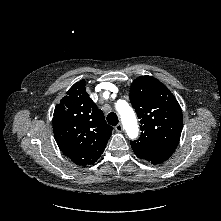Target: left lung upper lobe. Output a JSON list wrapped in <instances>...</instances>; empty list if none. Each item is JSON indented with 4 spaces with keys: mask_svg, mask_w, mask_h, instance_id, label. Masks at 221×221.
<instances>
[{
    "mask_svg": "<svg viewBox=\"0 0 221 221\" xmlns=\"http://www.w3.org/2000/svg\"><path fill=\"white\" fill-rule=\"evenodd\" d=\"M130 102L142 131L137 141H131L135 155L154 165L164 162L176 149L181 136L183 116L178 101L159 80L140 76L132 83Z\"/></svg>",
    "mask_w": 221,
    "mask_h": 221,
    "instance_id": "left-lung-upper-lobe-1",
    "label": "left lung upper lobe"
}]
</instances>
